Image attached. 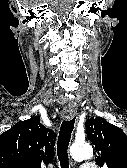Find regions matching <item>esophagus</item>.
I'll return each instance as SVG.
<instances>
[{
    "label": "esophagus",
    "instance_id": "34e87169",
    "mask_svg": "<svg viewBox=\"0 0 127 168\" xmlns=\"http://www.w3.org/2000/svg\"><path fill=\"white\" fill-rule=\"evenodd\" d=\"M77 114V110L75 107H66L63 111V115L62 117L66 120H70L72 119L73 117H75Z\"/></svg>",
    "mask_w": 127,
    "mask_h": 168
}]
</instances>
